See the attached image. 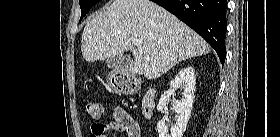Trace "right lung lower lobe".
<instances>
[{
    "mask_svg": "<svg viewBox=\"0 0 280 137\" xmlns=\"http://www.w3.org/2000/svg\"><path fill=\"white\" fill-rule=\"evenodd\" d=\"M201 35L217 52L220 62L226 58L225 34L227 0H152Z\"/></svg>",
    "mask_w": 280,
    "mask_h": 137,
    "instance_id": "obj_1",
    "label": "right lung lower lobe"
}]
</instances>
